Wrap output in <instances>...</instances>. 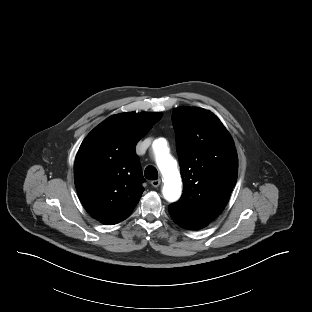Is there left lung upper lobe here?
I'll return each instance as SVG.
<instances>
[{
  "mask_svg": "<svg viewBox=\"0 0 312 312\" xmlns=\"http://www.w3.org/2000/svg\"><path fill=\"white\" fill-rule=\"evenodd\" d=\"M172 123L183 179L181 199L169 207L209 223L225 208L238 174L232 137L212 112L175 108Z\"/></svg>",
  "mask_w": 312,
  "mask_h": 312,
  "instance_id": "left-lung-upper-lobe-1",
  "label": "left lung upper lobe"
}]
</instances>
